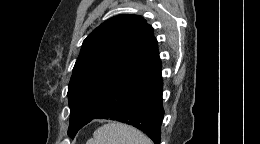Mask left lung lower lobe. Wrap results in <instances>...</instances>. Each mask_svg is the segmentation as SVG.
<instances>
[{
  "label": "left lung lower lobe",
  "instance_id": "1",
  "mask_svg": "<svg viewBox=\"0 0 260 144\" xmlns=\"http://www.w3.org/2000/svg\"><path fill=\"white\" fill-rule=\"evenodd\" d=\"M158 60H153L131 74L114 92L109 102L93 119H108L132 125L160 144L163 82Z\"/></svg>",
  "mask_w": 260,
  "mask_h": 144
}]
</instances>
